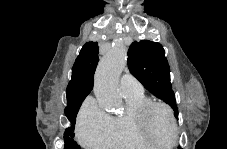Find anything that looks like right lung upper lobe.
Segmentation results:
<instances>
[{
	"label": "right lung upper lobe",
	"instance_id": "cb5924a9",
	"mask_svg": "<svg viewBox=\"0 0 227 149\" xmlns=\"http://www.w3.org/2000/svg\"><path fill=\"white\" fill-rule=\"evenodd\" d=\"M97 42H87L81 49L72 68V78L66 89L67 107H73L91 92L94 72L98 63Z\"/></svg>",
	"mask_w": 227,
	"mask_h": 149
}]
</instances>
